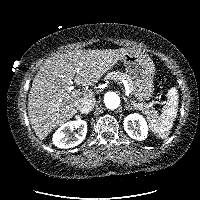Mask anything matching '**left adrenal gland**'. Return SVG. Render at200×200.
<instances>
[{
  "label": "left adrenal gland",
  "instance_id": "a2214340",
  "mask_svg": "<svg viewBox=\"0 0 200 200\" xmlns=\"http://www.w3.org/2000/svg\"><path fill=\"white\" fill-rule=\"evenodd\" d=\"M124 101H125V109L126 110H129V109H135L130 103H129V101L126 99V98H124Z\"/></svg>",
  "mask_w": 200,
  "mask_h": 200
}]
</instances>
